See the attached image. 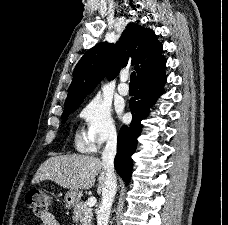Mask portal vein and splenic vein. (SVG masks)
<instances>
[{"instance_id":"portal-vein-and-splenic-vein-1","label":"portal vein and splenic vein","mask_w":228,"mask_h":225,"mask_svg":"<svg viewBox=\"0 0 228 225\" xmlns=\"http://www.w3.org/2000/svg\"><path fill=\"white\" fill-rule=\"evenodd\" d=\"M97 203V199H95V197H90V199H88L86 205L87 207H94V205H96Z\"/></svg>"}]
</instances>
